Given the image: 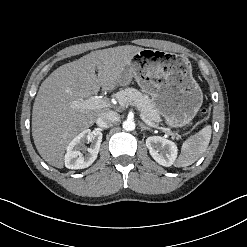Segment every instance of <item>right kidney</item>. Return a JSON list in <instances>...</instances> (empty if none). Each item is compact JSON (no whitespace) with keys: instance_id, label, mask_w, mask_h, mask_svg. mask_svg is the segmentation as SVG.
<instances>
[{"instance_id":"right-kidney-1","label":"right kidney","mask_w":247,"mask_h":247,"mask_svg":"<svg viewBox=\"0 0 247 247\" xmlns=\"http://www.w3.org/2000/svg\"><path fill=\"white\" fill-rule=\"evenodd\" d=\"M91 143L90 148L85 143ZM102 142L100 131L86 129L78 134L67 146L65 166L68 169H84L89 167L97 158Z\"/></svg>"}]
</instances>
